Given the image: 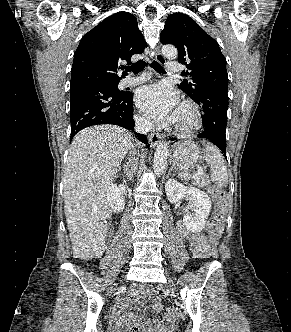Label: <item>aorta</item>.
Returning <instances> with one entry per match:
<instances>
[{"label":"aorta","instance_id":"aorta-1","mask_svg":"<svg viewBox=\"0 0 291 332\" xmlns=\"http://www.w3.org/2000/svg\"><path fill=\"white\" fill-rule=\"evenodd\" d=\"M162 54L168 59H175L177 57V49L172 45H164L162 47ZM168 145L166 142H160L154 153L153 169L157 177H160L167 165Z\"/></svg>","mask_w":291,"mask_h":332}]
</instances>
